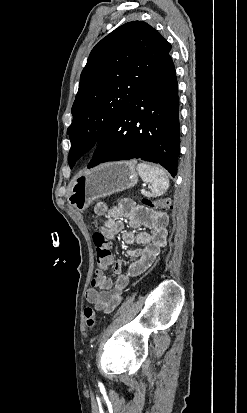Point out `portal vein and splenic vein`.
Here are the masks:
<instances>
[{"instance_id": "1", "label": "portal vein and splenic vein", "mask_w": 247, "mask_h": 413, "mask_svg": "<svg viewBox=\"0 0 247 413\" xmlns=\"http://www.w3.org/2000/svg\"><path fill=\"white\" fill-rule=\"evenodd\" d=\"M142 191H143V192L145 191L144 188H142Z\"/></svg>"}]
</instances>
